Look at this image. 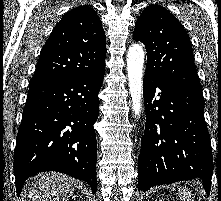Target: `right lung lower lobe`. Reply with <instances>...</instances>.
Returning a JSON list of instances; mask_svg holds the SVG:
<instances>
[{
    "instance_id": "98d812e1",
    "label": "right lung lower lobe",
    "mask_w": 221,
    "mask_h": 201,
    "mask_svg": "<svg viewBox=\"0 0 221 201\" xmlns=\"http://www.w3.org/2000/svg\"><path fill=\"white\" fill-rule=\"evenodd\" d=\"M104 70L68 79H31L14 152L16 192L41 171L87 182L96 193L98 119Z\"/></svg>"
}]
</instances>
